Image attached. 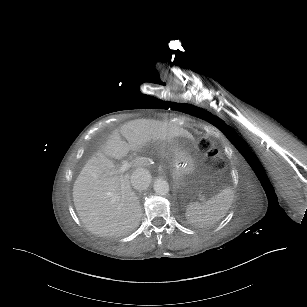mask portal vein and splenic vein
<instances>
[{"label": "portal vein and splenic vein", "instance_id": "obj_1", "mask_svg": "<svg viewBox=\"0 0 307 307\" xmlns=\"http://www.w3.org/2000/svg\"><path fill=\"white\" fill-rule=\"evenodd\" d=\"M122 163H123V164H121L120 169H121V171H123V172L128 171V169L131 168V167H133V165H134L133 160H131V159H128V160H127L126 158H123V159H122ZM112 174H113V173H112ZM200 195L202 196L203 194L201 193ZM201 198H202L203 200L205 199L204 196H202Z\"/></svg>", "mask_w": 307, "mask_h": 307}]
</instances>
